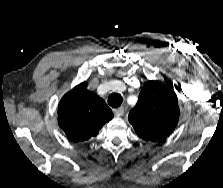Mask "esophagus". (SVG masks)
Returning a JSON list of instances; mask_svg holds the SVG:
<instances>
[{
  "label": "esophagus",
  "instance_id": "esophagus-1",
  "mask_svg": "<svg viewBox=\"0 0 223 188\" xmlns=\"http://www.w3.org/2000/svg\"><path fill=\"white\" fill-rule=\"evenodd\" d=\"M115 116L120 117L124 114V108L123 107H119L113 110Z\"/></svg>",
  "mask_w": 223,
  "mask_h": 188
}]
</instances>
